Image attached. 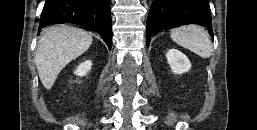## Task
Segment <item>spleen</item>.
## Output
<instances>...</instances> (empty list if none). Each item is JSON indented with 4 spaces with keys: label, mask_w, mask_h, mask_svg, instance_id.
Returning a JSON list of instances; mask_svg holds the SVG:
<instances>
[{
    "label": "spleen",
    "mask_w": 257,
    "mask_h": 130,
    "mask_svg": "<svg viewBox=\"0 0 257 130\" xmlns=\"http://www.w3.org/2000/svg\"><path fill=\"white\" fill-rule=\"evenodd\" d=\"M170 36L178 45L189 49L202 58H209L212 53V43L208 34L197 25L175 28Z\"/></svg>",
    "instance_id": "spleen-1"
}]
</instances>
